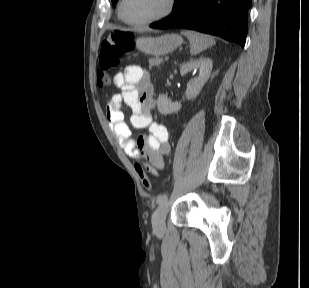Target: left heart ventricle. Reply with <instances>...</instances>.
Segmentation results:
<instances>
[{
  "label": "left heart ventricle",
  "instance_id": "left-heart-ventricle-1",
  "mask_svg": "<svg viewBox=\"0 0 309 288\" xmlns=\"http://www.w3.org/2000/svg\"><path fill=\"white\" fill-rule=\"evenodd\" d=\"M167 0H126L123 8L124 16L130 21H143L162 13Z\"/></svg>",
  "mask_w": 309,
  "mask_h": 288
}]
</instances>
